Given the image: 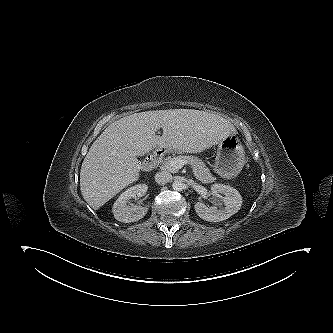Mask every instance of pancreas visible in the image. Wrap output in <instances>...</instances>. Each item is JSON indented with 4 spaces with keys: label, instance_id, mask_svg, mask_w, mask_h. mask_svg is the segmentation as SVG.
I'll return each mask as SVG.
<instances>
[{
    "label": "pancreas",
    "instance_id": "pancreas-1",
    "mask_svg": "<svg viewBox=\"0 0 333 333\" xmlns=\"http://www.w3.org/2000/svg\"><path fill=\"white\" fill-rule=\"evenodd\" d=\"M174 160H183L190 164L193 169L195 178L202 183H212L215 181V177L212 176L210 170L206 168L205 163L199 158L194 156H177L173 158H167L163 161L164 168L169 171H174V169H172L170 166V163Z\"/></svg>",
    "mask_w": 333,
    "mask_h": 333
}]
</instances>
